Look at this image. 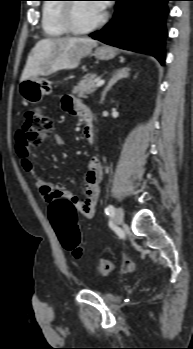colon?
Returning a JSON list of instances; mask_svg holds the SVG:
<instances>
[{
    "instance_id": "5ec220e1",
    "label": "colon",
    "mask_w": 193,
    "mask_h": 349,
    "mask_svg": "<svg viewBox=\"0 0 193 349\" xmlns=\"http://www.w3.org/2000/svg\"><path fill=\"white\" fill-rule=\"evenodd\" d=\"M22 132L29 145L40 144L53 136V120L43 109L29 108L25 112ZM48 216L63 248L80 258L82 247L75 205L69 200H55L49 204ZM113 268L114 263L108 259H99L96 264V271L102 276L108 275Z\"/></svg>"
}]
</instances>
